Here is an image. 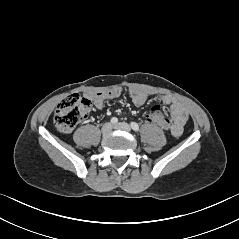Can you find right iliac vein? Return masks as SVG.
Here are the masks:
<instances>
[{
  "label": "right iliac vein",
  "instance_id": "right-iliac-vein-1",
  "mask_svg": "<svg viewBox=\"0 0 239 239\" xmlns=\"http://www.w3.org/2000/svg\"><path fill=\"white\" fill-rule=\"evenodd\" d=\"M113 126L111 123H105L102 127V133L108 134L112 130Z\"/></svg>",
  "mask_w": 239,
  "mask_h": 239
}]
</instances>
